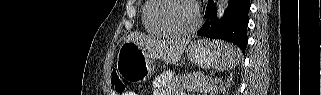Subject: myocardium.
Masks as SVG:
<instances>
[{"mask_svg": "<svg viewBox=\"0 0 321 95\" xmlns=\"http://www.w3.org/2000/svg\"><path fill=\"white\" fill-rule=\"evenodd\" d=\"M170 1H175V0H153V4H152L150 11H149V18H150L151 22L153 23V25L157 29L162 31L164 34L170 35V36H176V37H185V36H189V35L193 34L194 32H196L201 24V14H200L199 6H198L197 2L194 0H181V1H185V2L189 3L192 6L193 11H194V16H195L194 23L187 30H184V31L176 30V29L164 24L162 21H160L157 18L158 10L162 7V5L167 4Z\"/></svg>", "mask_w": 321, "mask_h": 95, "instance_id": "f54148a6", "label": "myocardium"}]
</instances>
